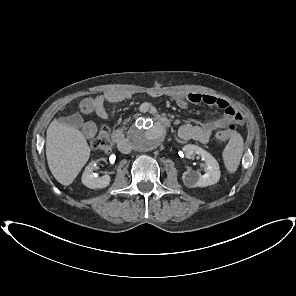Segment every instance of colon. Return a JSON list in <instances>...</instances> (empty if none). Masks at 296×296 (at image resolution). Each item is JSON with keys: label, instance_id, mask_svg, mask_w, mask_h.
I'll use <instances>...</instances> for the list:
<instances>
[{"label": "colon", "instance_id": "1", "mask_svg": "<svg viewBox=\"0 0 296 296\" xmlns=\"http://www.w3.org/2000/svg\"><path fill=\"white\" fill-rule=\"evenodd\" d=\"M236 130V126L231 124L226 129L218 131L215 135L217 142H224L229 139ZM91 145L94 150L101 153H109L112 149L110 131L107 127H103L92 140Z\"/></svg>", "mask_w": 296, "mask_h": 296}]
</instances>
